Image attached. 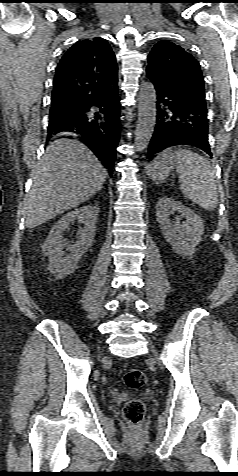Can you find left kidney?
I'll return each mask as SVG.
<instances>
[{"mask_svg":"<svg viewBox=\"0 0 238 476\" xmlns=\"http://www.w3.org/2000/svg\"><path fill=\"white\" fill-rule=\"evenodd\" d=\"M174 211L185 217L186 220L182 224L170 220L169 215ZM156 220L172 250L181 256L192 258L195 247L200 243L204 233L202 219L180 202L164 196L156 204Z\"/></svg>","mask_w":238,"mask_h":476,"instance_id":"left-kidney-1","label":"left kidney"}]
</instances>
